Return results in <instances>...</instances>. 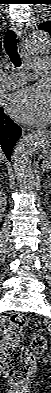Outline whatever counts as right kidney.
I'll use <instances>...</instances> for the list:
<instances>
[{"instance_id":"1","label":"right kidney","mask_w":51,"mask_h":393,"mask_svg":"<svg viewBox=\"0 0 51 393\" xmlns=\"http://www.w3.org/2000/svg\"><path fill=\"white\" fill-rule=\"evenodd\" d=\"M0 206H1V210H4V207L6 206V198L3 197V195L1 194L0 196Z\"/></svg>"}]
</instances>
